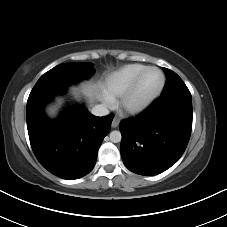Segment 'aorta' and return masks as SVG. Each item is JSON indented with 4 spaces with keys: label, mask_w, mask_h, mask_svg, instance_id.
I'll return each instance as SVG.
<instances>
[{
    "label": "aorta",
    "mask_w": 227,
    "mask_h": 227,
    "mask_svg": "<svg viewBox=\"0 0 227 227\" xmlns=\"http://www.w3.org/2000/svg\"><path fill=\"white\" fill-rule=\"evenodd\" d=\"M121 138H122V136H121L120 131L115 130L110 133V141L113 143L120 142Z\"/></svg>",
    "instance_id": "1"
}]
</instances>
